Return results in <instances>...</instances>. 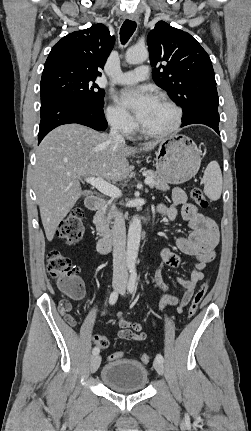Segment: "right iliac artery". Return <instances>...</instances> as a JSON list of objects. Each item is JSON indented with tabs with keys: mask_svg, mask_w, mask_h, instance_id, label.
Wrapping results in <instances>:
<instances>
[{
	"mask_svg": "<svg viewBox=\"0 0 251 431\" xmlns=\"http://www.w3.org/2000/svg\"><path fill=\"white\" fill-rule=\"evenodd\" d=\"M117 299H118V291H113L109 297V303L111 305H114L116 303ZM99 352H100V350L98 347H94L92 350V353L94 355L99 354Z\"/></svg>",
	"mask_w": 251,
	"mask_h": 431,
	"instance_id": "obj_1",
	"label": "right iliac artery"
}]
</instances>
